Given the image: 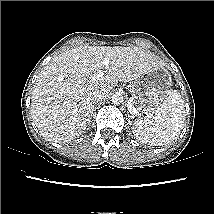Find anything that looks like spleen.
<instances>
[{"label": "spleen", "instance_id": "3e777b00", "mask_svg": "<svg viewBox=\"0 0 214 214\" xmlns=\"http://www.w3.org/2000/svg\"><path fill=\"white\" fill-rule=\"evenodd\" d=\"M185 121V108L180 93L173 90L167 99L155 110L134 120L132 130L142 143L161 146L175 140Z\"/></svg>", "mask_w": 214, "mask_h": 214}]
</instances>
